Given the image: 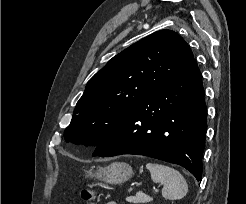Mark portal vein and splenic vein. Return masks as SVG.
<instances>
[{
    "instance_id": "18ae733b",
    "label": "portal vein and splenic vein",
    "mask_w": 246,
    "mask_h": 204,
    "mask_svg": "<svg viewBox=\"0 0 246 204\" xmlns=\"http://www.w3.org/2000/svg\"><path fill=\"white\" fill-rule=\"evenodd\" d=\"M154 191H158V189L157 188H154Z\"/></svg>"
}]
</instances>
